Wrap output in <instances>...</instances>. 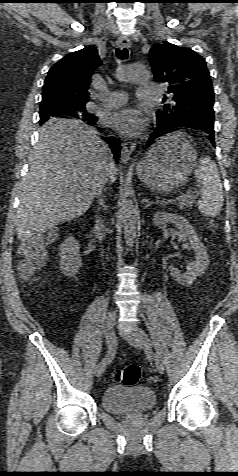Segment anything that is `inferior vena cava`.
I'll list each match as a JSON object with an SVG mask.
<instances>
[{
  "label": "inferior vena cava",
  "instance_id": "602c4592",
  "mask_svg": "<svg viewBox=\"0 0 238 476\" xmlns=\"http://www.w3.org/2000/svg\"><path fill=\"white\" fill-rule=\"evenodd\" d=\"M106 150L108 151L107 147L105 146ZM115 166V163H114V160L112 158V155L111 153L109 152V164H108V168H107V175H106V178H105V181L104 183L102 184V186L99 188V191H98V195H100L102 193V190L104 189V186L106 184V182L108 181V174L111 173L112 169L114 168ZM96 235H97V239L99 242L102 241L104 235H103V231L105 229V226H104V223L101 219L97 218L96 220Z\"/></svg>",
  "mask_w": 238,
  "mask_h": 476
}]
</instances>
